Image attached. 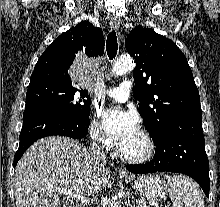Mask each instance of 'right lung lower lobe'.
<instances>
[{"label": "right lung lower lobe", "instance_id": "right-lung-lower-lobe-1", "mask_svg": "<svg viewBox=\"0 0 220 207\" xmlns=\"http://www.w3.org/2000/svg\"><path fill=\"white\" fill-rule=\"evenodd\" d=\"M88 126L89 119L76 118L44 107L26 108L14 167L27 148L38 139L51 135L81 139L87 135Z\"/></svg>", "mask_w": 220, "mask_h": 207}]
</instances>
